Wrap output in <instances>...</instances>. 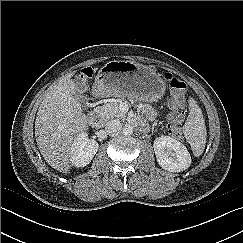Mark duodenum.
Returning <instances> with one entry per match:
<instances>
[{
    "label": "duodenum",
    "mask_w": 243,
    "mask_h": 243,
    "mask_svg": "<svg viewBox=\"0 0 243 243\" xmlns=\"http://www.w3.org/2000/svg\"><path fill=\"white\" fill-rule=\"evenodd\" d=\"M88 123L93 127H98L102 123V116L98 110H90L88 113ZM139 127L143 130L147 129V125L144 122H139Z\"/></svg>",
    "instance_id": "duodenum-1"
}]
</instances>
